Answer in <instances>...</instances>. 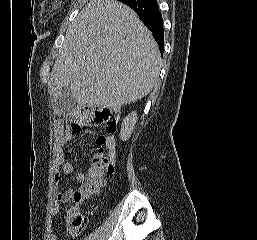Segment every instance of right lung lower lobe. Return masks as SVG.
Returning a JSON list of instances; mask_svg holds the SVG:
<instances>
[{
  "label": "right lung lower lobe",
  "mask_w": 257,
  "mask_h": 240,
  "mask_svg": "<svg viewBox=\"0 0 257 240\" xmlns=\"http://www.w3.org/2000/svg\"><path fill=\"white\" fill-rule=\"evenodd\" d=\"M126 5L131 7L141 18L146 27L153 33L155 41L164 51L163 20L159 11L157 0H127Z\"/></svg>",
  "instance_id": "obj_1"
}]
</instances>
